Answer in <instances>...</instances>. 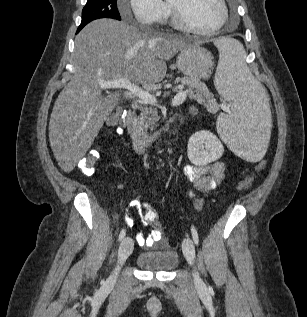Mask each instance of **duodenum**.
I'll return each instance as SVG.
<instances>
[{
  "instance_id": "1",
  "label": "duodenum",
  "mask_w": 307,
  "mask_h": 317,
  "mask_svg": "<svg viewBox=\"0 0 307 317\" xmlns=\"http://www.w3.org/2000/svg\"><path fill=\"white\" fill-rule=\"evenodd\" d=\"M125 121H128V128H126L131 145L135 151H143L153 145L157 137L148 138L144 135L136 121V110L131 108L126 114ZM182 125V120L177 121L173 126V131H177Z\"/></svg>"
}]
</instances>
